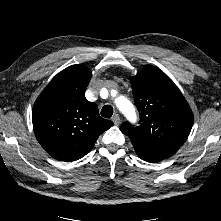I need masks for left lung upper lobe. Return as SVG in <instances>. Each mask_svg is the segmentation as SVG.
Segmentation results:
<instances>
[{
	"mask_svg": "<svg viewBox=\"0 0 221 221\" xmlns=\"http://www.w3.org/2000/svg\"><path fill=\"white\" fill-rule=\"evenodd\" d=\"M139 126L124 122L120 130L161 158L175 154L187 140L193 113L177 86L158 67L146 66L131 79Z\"/></svg>",
	"mask_w": 221,
	"mask_h": 221,
	"instance_id": "5c2ea615",
	"label": "left lung upper lobe"
}]
</instances>
